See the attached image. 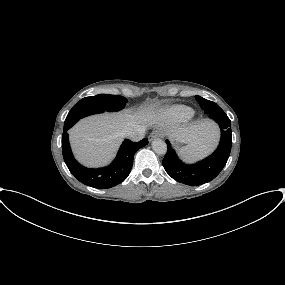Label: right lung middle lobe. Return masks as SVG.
Returning <instances> with one entry per match:
<instances>
[{
  "instance_id": "right-lung-middle-lobe-1",
  "label": "right lung middle lobe",
  "mask_w": 285,
  "mask_h": 285,
  "mask_svg": "<svg viewBox=\"0 0 285 285\" xmlns=\"http://www.w3.org/2000/svg\"><path fill=\"white\" fill-rule=\"evenodd\" d=\"M126 101V98L119 95L99 94L85 97L77 102L68 113L64 123V130L71 128L83 117L105 111L121 110L124 108Z\"/></svg>"
}]
</instances>
